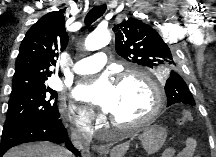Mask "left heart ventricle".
Returning <instances> with one entry per match:
<instances>
[{
  "label": "left heart ventricle",
  "mask_w": 216,
  "mask_h": 157,
  "mask_svg": "<svg viewBox=\"0 0 216 157\" xmlns=\"http://www.w3.org/2000/svg\"><path fill=\"white\" fill-rule=\"evenodd\" d=\"M152 106L148 86L138 79H127L115 87V105L111 115L123 122L143 118Z\"/></svg>",
  "instance_id": "b2bd125f"
}]
</instances>
